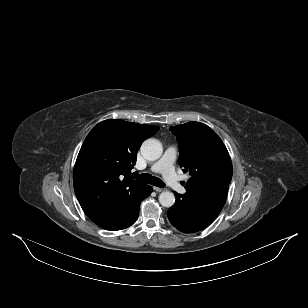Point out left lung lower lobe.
I'll list each match as a JSON object with an SVG mask.
<instances>
[{
	"label": "left lung lower lobe",
	"instance_id": "left-lung-lower-lobe-1",
	"mask_svg": "<svg viewBox=\"0 0 308 308\" xmlns=\"http://www.w3.org/2000/svg\"><path fill=\"white\" fill-rule=\"evenodd\" d=\"M228 186L207 190L195 196L174 192L175 204L168 209V219L178 230L194 233L210 225L222 210Z\"/></svg>",
	"mask_w": 308,
	"mask_h": 308
}]
</instances>
